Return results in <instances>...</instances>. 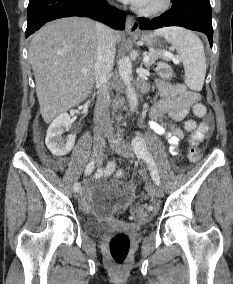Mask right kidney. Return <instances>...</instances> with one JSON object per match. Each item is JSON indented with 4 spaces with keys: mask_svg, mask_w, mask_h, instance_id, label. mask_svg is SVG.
<instances>
[{
    "mask_svg": "<svg viewBox=\"0 0 233 284\" xmlns=\"http://www.w3.org/2000/svg\"><path fill=\"white\" fill-rule=\"evenodd\" d=\"M69 124L70 116L68 113H62L50 124L47 130L46 146L56 156L68 154L75 144V135L71 134L66 138L62 137L65 128Z\"/></svg>",
    "mask_w": 233,
    "mask_h": 284,
    "instance_id": "1",
    "label": "right kidney"
}]
</instances>
